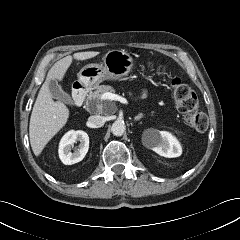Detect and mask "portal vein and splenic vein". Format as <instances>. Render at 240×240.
Listing matches in <instances>:
<instances>
[{"instance_id": "portal-vein-and-splenic-vein-1", "label": "portal vein and splenic vein", "mask_w": 240, "mask_h": 240, "mask_svg": "<svg viewBox=\"0 0 240 240\" xmlns=\"http://www.w3.org/2000/svg\"><path fill=\"white\" fill-rule=\"evenodd\" d=\"M101 99L108 100V101H120L121 103L127 104V100L117 94H113L111 92H106L101 96Z\"/></svg>"}]
</instances>
